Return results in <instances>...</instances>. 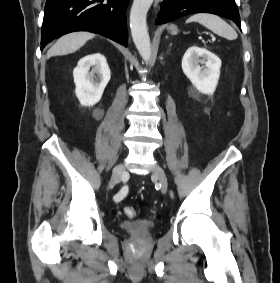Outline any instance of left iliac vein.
Listing matches in <instances>:
<instances>
[{
	"label": "left iliac vein",
	"mask_w": 280,
	"mask_h": 283,
	"mask_svg": "<svg viewBox=\"0 0 280 283\" xmlns=\"http://www.w3.org/2000/svg\"><path fill=\"white\" fill-rule=\"evenodd\" d=\"M152 175L161 184L162 192L166 193L168 190V180L165 171L159 165H155L152 171Z\"/></svg>",
	"instance_id": "1"
}]
</instances>
